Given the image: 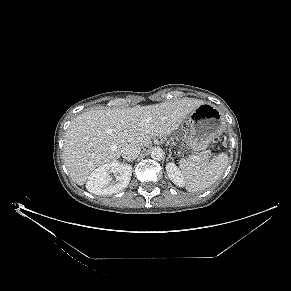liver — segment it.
<instances>
[{
    "mask_svg": "<svg viewBox=\"0 0 291 291\" xmlns=\"http://www.w3.org/2000/svg\"><path fill=\"white\" fill-rule=\"evenodd\" d=\"M204 101L182 98L127 109L89 110L75 117L64 136L65 166L78 185L92 171L117 160L126 145L149 146L154 137H167Z\"/></svg>",
    "mask_w": 291,
    "mask_h": 291,
    "instance_id": "1",
    "label": "liver"
}]
</instances>
